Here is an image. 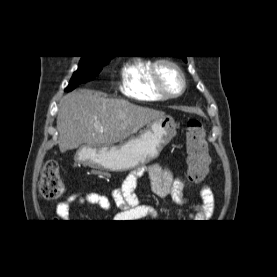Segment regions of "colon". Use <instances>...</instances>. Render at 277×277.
Here are the masks:
<instances>
[{"label": "colon", "instance_id": "obj_1", "mask_svg": "<svg viewBox=\"0 0 277 277\" xmlns=\"http://www.w3.org/2000/svg\"><path fill=\"white\" fill-rule=\"evenodd\" d=\"M187 179L200 182L208 173L209 157L207 151L206 132L199 119H191L186 127ZM39 190L43 198L56 200L65 190L59 164L50 160L43 167Z\"/></svg>", "mask_w": 277, "mask_h": 277}]
</instances>
